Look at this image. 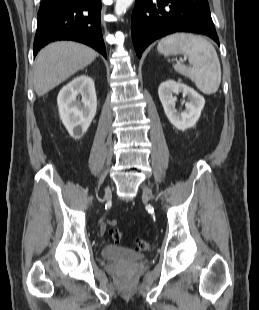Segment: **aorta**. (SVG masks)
<instances>
[{"label":"aorta","instance_id":"762f6f07","mask_svg":"<svg viewBox=\"0 0 259 310\" xmlns=\"http://www.w3.org/2000/svg\"><path fill=\"white\" fill-rule=\"evenodd\" d=\"M134 0H116L115 4V14L117 16L123 15L127 9L132 5Z\"/></svg>","mask_w":259,"mask_h":310}]
</instances>
